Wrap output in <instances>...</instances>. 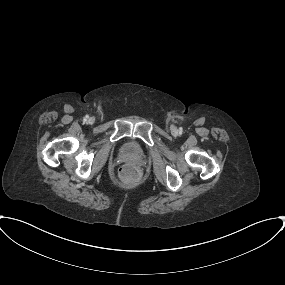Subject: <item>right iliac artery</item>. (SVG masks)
I'll use <instances>...</instances> for the list:
<instances>
[{"mask_svg":"<svg viewBox=\"0 0 285 285\" xmlns=\"http://www.w3.org/2000/svg\"><path fill=\"white\" fill-rule=\"evenodd\" d=\"M88 118H89V116H88V115H86V116L84 117V120L86 121Z\"/></svg>","mask_w":285,"mask_h":285,"instance_id":"obj_1","label":"right iliac artery"}]
</instances>
